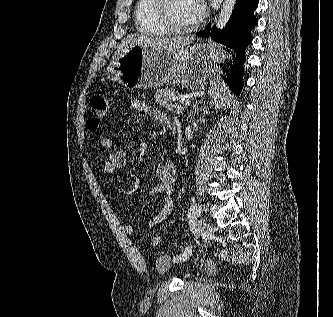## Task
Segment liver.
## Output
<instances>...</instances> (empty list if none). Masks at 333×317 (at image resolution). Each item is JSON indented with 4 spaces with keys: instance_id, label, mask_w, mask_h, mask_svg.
<instances>
[{
    "instance_id": "1",
    "label": "liver",
    "mask_w": 333,
    "mask_h": 317,
    "mask_svg": "<svg viewBox=\"0 0 333 317\" xmlns=\"http://www.w3.org/2000/svg\"><path fill=\"white\" fill-rule=\"evenodd\" d=\"M194 37H149L146 35L132 34L124 38L117 51L118 54L121 53L122 49L127 45H139L144 48L154 47L159 50H165L168 53L177 55L183 50L187 49L192 42Z\"/></svg>"
}]
</instances>
